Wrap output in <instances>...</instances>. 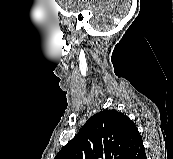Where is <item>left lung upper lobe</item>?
Returning a JSON list of instances; mask_svg holds the SVG:
<instances>
[{
    "label": "left lung upper lobe",
    "instance_id": "obj_1",
    "mask_svg": "<svg viewBox=\"0 0 173 159\" xmlns=\"http://www.w3.org/2000/svg\"><path fill=\"white\" fill-rule=\"evenodd\" d=\"M141 142L128 116L104 110L93 115L54 159H128Z\"/></svg>",
    "mask_w": 173,
    "mask_h": 159
}]
</instances>
